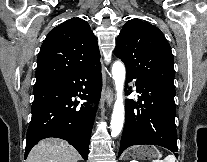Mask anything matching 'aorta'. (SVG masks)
I'll return each instance as SVG.
<instances>
[{
  "mask_svg": "<svg viewBox=\"0 0 207 162\" xmlns=\"http://www.w3.org/2000/svg\"><path fill=\"white\" fill-rule=\"evenodd\" d=\"M112 77L115 83L116 101L114 104L110 123L111 136L117 137L124 123L123 89L125 82V66L121 61H116L112 66Z\"/></svg>",
  "mask_w": 207,
  "mask_h": 162,
  "instance_id": "1",
  "label": "aorta"
}]
</instances>
